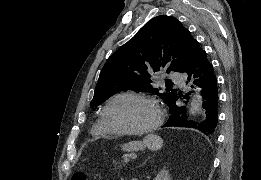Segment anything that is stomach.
Masks as SVG:
<instances>
[{
  "instance_id": "0dacf381",
  "label": "stomach",
  "mask_w": 261,
  "mask_h": 180,
  "mask_svg": "<svg viewBox=\"0 0 261 180\" xmlns=\"http://www.w3.org/2000/svg\"><path fill=\"white\" fill-rule=\"evenodd\" d=\"M143 148V144L138 141H132L122 146V150L125 152L138 151Z\"/></svg>"
}]
</instances>
